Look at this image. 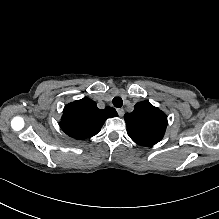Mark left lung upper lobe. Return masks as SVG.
<instances>
[{"instance_id":"left-lung-upper-lobe-1","label":"left lung upper lobe","mask_w":219,"mask_h":219,"mask_svg":"<svg viewBox=\"0 0 219 219\" xmlns=\"http://www.w3.org/2000/svg\"><path fill=\"white\" fill-rule=\"evenodd\" d=\"M125 122L129 137L139 145L152 146L159 142L167 127V117L149 101L134 106V111L126 113Z\"/></svg>"}]
</instances>
